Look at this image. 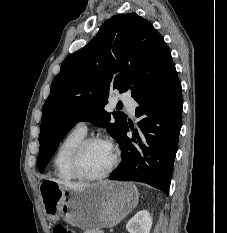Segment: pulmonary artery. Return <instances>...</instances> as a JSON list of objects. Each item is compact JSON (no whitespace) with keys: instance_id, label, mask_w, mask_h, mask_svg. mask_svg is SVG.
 I'll use <instances>...</instances> for the list:
<instances>
[{"instance_id":"pulmonary-artery-1","label":"pulmonary artery","mask_w":227,"mask_h":233,"mask_svg":"<svg viewBox=\"0 0 227 233\" xmlns=\"http://www.w3.org/2000/svg\"><path fill=\"white\" fill-rule=\"evenodd\" d=\"M121 101L126 106L127 110L131 114H134L135 108H136V102L132 98H130L128 96H123L121 98ZM75 129H77V130H79V131H81L83 133H86L87 132L86 122H84V121L78 122L77 125L75 126Z\"/></svg>"}]
</instances>
